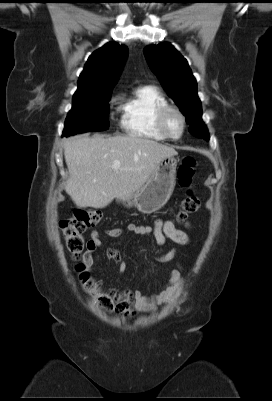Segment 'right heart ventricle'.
<instances>
[{"instance_id":"e07e8e85","label":"right heart ventricle","mask_w":272,"mask_h":401,"mask_svg":"<svg viewBox=\"0 0 272 401\" xmlns=\"http://www.w3.org/2000/svg\"><path fill=\"white\" fill-rule=\"evenodd\" d=\"M168 104L165 95L153 85L137 87L122 106L121 125L130 135L138 138L164 141L157 116Z\"/></svg>"}]
</instances>
